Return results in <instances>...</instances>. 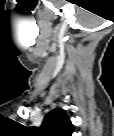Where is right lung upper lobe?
Segmentation results:
<instances>
[{
	"instance_id": "right-lung-upper-lobe-1",
	"label": "right lung upper lobe",
	"mask_w": 114,
	"mask_h": 136,
	"mask_svg": "<svg viewBox=\"0 0 114 136\" xmlns=\"http://www.w3.org/2000/svg\"><path fill=\"white\" fill-rule=\"evenodd\" d=\"M38 130L39 136H71L73 125L63 109H54L45 115Z\"/></svg>"
}]
</instances>
